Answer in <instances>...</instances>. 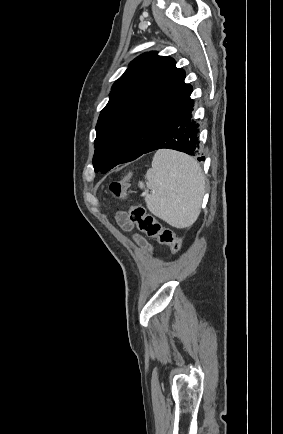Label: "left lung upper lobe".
Here are the masks:
<instances>
[{
	"instance_id": "5c2ea615",
	"label": "left lung upper lobe",
	"mask_w": 283,
	"mask_h": 434,
	"mask_svg": "<svg viewBox=\"0 0 283 434\" xmlns=\"http://www.w3.org/2000/svg\"><path fill=\"white\" fill-rule=\"evenodd\" d=\"M175 64L171 57L147 52L113 84L96 125L95 172L106 173L141 156L165 120L191 95L185 71Z\"/></svg>"
}]
</instances>
